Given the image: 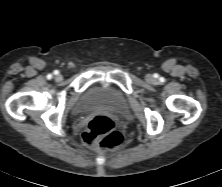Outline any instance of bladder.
<instances>
[{
	"instance_id": "bladder-1",
	"label": "bladder",
	"mask_w": 222,
	"mask_h": 187,
	"mask_svg": "<svg viewBox=\"0 0 222 187\" xmlns=\"http://www.w3.org/2000/svg\"><path fill=\"white\" fill-rule=\"evenodd\" d=\"M98 109L123 114L128 109L126 96L118 88L93 84L84 90L73 107L75 114H84Z\"/></svg>"
}]
</instances>
